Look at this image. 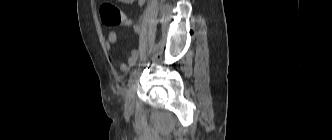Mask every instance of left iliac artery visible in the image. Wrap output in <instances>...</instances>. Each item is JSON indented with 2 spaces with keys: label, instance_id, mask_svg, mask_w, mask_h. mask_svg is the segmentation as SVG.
Here are the masks:
<instances>
[{
  "label": "left iliac artery",
  "instance_id": "1",
  "mask_svg": "<svg viewBox=\"0 0 332 140\" xmlns=\"http://www.w3.org/2000/svg\"><path fill=\"white\" fill-rule=\"evenodd\" d=\"M140 69L141 68L139 67V68H136L134 71H132V73L130 75V80L129 81H131L132 78L135 77L139 73Z\"/></svg>",
  "mask_w": 332,
  "mask_h": 140
}]
</instances>
